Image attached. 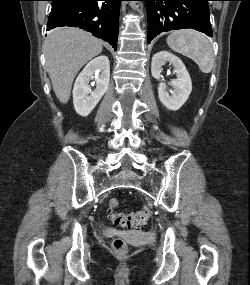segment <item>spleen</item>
<instances>
[{"label":"spleen","mask_w":250,"mask_h":285,"mask_svg":"<svg viewBox=\"0 0 250 285\" xmlns=\"http://www.w3.org/2000/svg\"><path fill=\"white\" fill-rule=\"evenodd\" d=\"M166 41L173 51L192 59L201 72L208 74L212 71L213 47L203 33L192 29L176 30L167 37Z\"/></svg>","instance_id":"3e777b00"}]
</instances>
